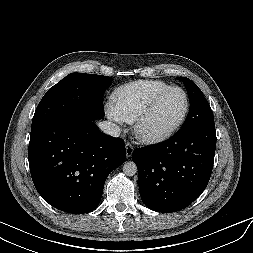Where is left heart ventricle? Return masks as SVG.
<instances>
[{
    "label": "left heart ventricle",
    "instance_id": "b2bd125f",
    "mask_svg": "<svg viewBox=\"0 0 253 253\" xmlns=\"http://www.w3.org/2000/svg\"><path fill=\"white\" fill-rule=\"evenodd\" d=\"M184 106V96L180 91L169 92L158 102L145 122V131L159 133L168 130L177 122Z\"/></svg>",
    "mask_w": 253,
    "mask_h": 253
}]
</instances>
